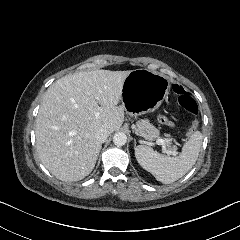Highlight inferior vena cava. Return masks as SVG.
<instances>
[{"label":"inferior vena cava","mask_w":240,"mask_h":240,"mask_svg":"<svg viewBox=\"0 0 240 240\" xmlns=\"http://www.w3.org/2000/svg\"><path fill=\"white\" fill-rule=\"evenodd\" d=\"M109 134H110V132L108 130L100 128L97 130L95 139L97 141H99L100 143H104L106 141V139L108 138Z\"/></svg>","instance_id":"inferior-vena-cava-1"}]
</instances>
